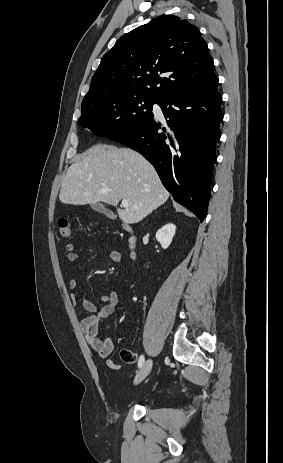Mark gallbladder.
I'll use <instances>...</instances> for the list:
<instances>
[{
  "mask_svg": "<svg viewBox=\"0 0 283 463\" xmlns=\"http://www.w3.org/2000/svg\"><path fill=\"white\" fill-rule=\"evenodd\" d=\"M90 206L94 211L103 213V214H105V215H107L109 217H112V218L116 217L111 211L106 209L105 206L103 204H101V203H94V204H91Z\"/></svg>",
  "mask_w": 283,
  "mask_h": 463,
  "instance_id": "gallbladder-1",
  "label": "gallbladder"
}]
</instances>
